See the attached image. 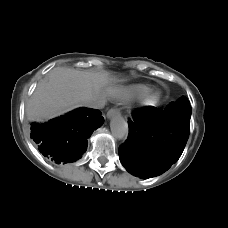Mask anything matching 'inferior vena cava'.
I'll return each mask as SVG.
<instances>
[{"instance_id":"inferior-vena-cava-1","label":"inferior vena cava","mask_w":228,"mask_h":228,"mask_svg":"<svg viewBox=\"0 0 228 228\" xmlns=\"http://www.w3.org/2000/svg\"><path fill=\"white\" fill-rule=\"evenodd\" d=\"M105 102L106 101L104 96H98L90 100H87L84 106L93 108V109H102L105 106Z\"/></svg>"}]
</instances>
